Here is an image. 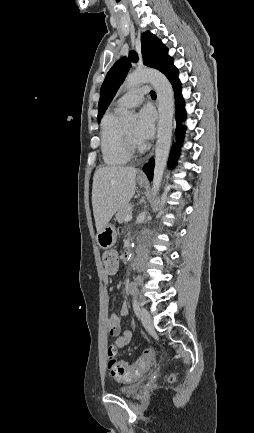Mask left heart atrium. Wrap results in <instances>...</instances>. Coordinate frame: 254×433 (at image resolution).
Wrapping results in <instances>:
<instances>
[{"label": "left heart atrium", "mask_w": 254, "mask_h": 433, "mask_svg": "<svg viewBox=\"0 0 254 433\" xmlns=\"http://www.w3.org/2000/svg\"><path fill=\"white\" fill-rule=\"evenodd\" d=\"M155 129V114L151 108L145 107L138 113L134 136L139 145L149 140Z\"/></svg>", "instance_id": "left-heart-atrium-1"}]
</instances>
